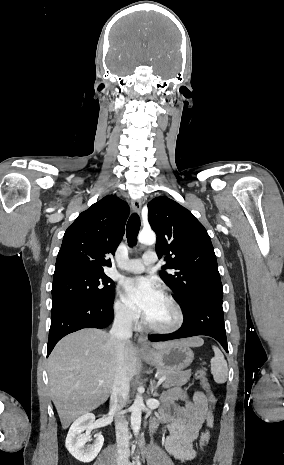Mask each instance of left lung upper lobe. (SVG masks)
Segmentation results:
<instances>
[{
    "label": "left lung upper lobe",
    "instance_id": "5c2ea615",
    "mask_svg": "<svg viewBox=\"0 0 284 465\" xmlns=\"http://www.w3.org/2000/svg\"><path fill=\"white\" fill-rule=\"evenodd\" d=\"M148 220L157 234L155 249L165 256L164 282L182 304L195 297L223 298L214 248L204 226L186 208L167 197L148 203Z\"/></svg>",
    "mask_w": 284,
    "mask_h": 465
}]
</instances>
